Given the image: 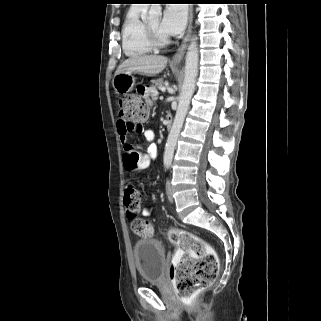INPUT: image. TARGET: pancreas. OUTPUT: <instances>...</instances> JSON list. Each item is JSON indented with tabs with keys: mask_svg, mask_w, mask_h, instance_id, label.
Instances as JSON below:
<instances>
[{
	"mask_svg": "<svg viewBox=\"0 0 321 321\" xmlns=\"http://www.w3.org/2000/svg\"><path fill=\"white\" fill-rule=\"evenodd\" d=\"M154 86L151 89H161L163 87L164 81L162 78L153 81Z\"/></svg>",
	"mask_w": 321,
	"mask_h": 321,
	"instance_id": "pancreas-1",
	"label": "pancreas"
}]
</instances>
